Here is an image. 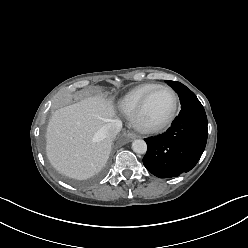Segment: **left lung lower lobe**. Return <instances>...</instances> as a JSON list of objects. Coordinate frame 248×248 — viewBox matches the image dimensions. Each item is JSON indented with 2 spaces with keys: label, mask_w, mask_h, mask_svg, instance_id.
I'll use <instances>...</instances> for the list:
<instances>
[{
  "label": "left lung lower lobe",
  "mask_w": 248,
  "mask_h": 248,
  "mask_svg": "<svg viewBox=\"0 0 248 248\" xmlns=\"http://www.w3.org/2000/svg\"><path fill=\"white\" fill-rule=\"evenodd\" d=\"M207 135L206 113L197 101L182 108L165 133L145 139L147 153L143 158L144 166L159 178L188 172L199 161Z\"/></svg>",
  "instance_id": "left-lung-lower-lobe-1"
}]
</instances>
